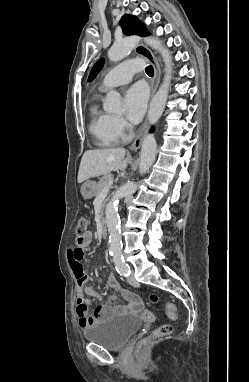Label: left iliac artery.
I'll return each mask as SVG.
<instances>
[{"label": "left iliac artery", "instance_id": "left-iliac-artery-1", "mask_svg": "<svg viewBox=\"0 0 249 382\" xmlns=\"http://www.w3.org/2000/svg\"><path fill=\"white\" fill-rule=\"evenodd\" d=\"M114 263L116 266V270L120 275L129 276L131 271L129 265L125 262L124 257L121 253H116L114 256Z\"/></svg>", "mask_w": 249, "mask_h": 382}]
</instances>
